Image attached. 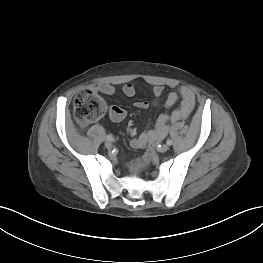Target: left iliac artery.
Wrapping results in <instances>:
<instances>
[{
    "mask_svg": "<svg viewBox=\"0 0 263 263\" xmlns=\"http://www.w3.org/2000/svg\"><path fill=\"white\" fill-rule=\"evenodd\" d=\"M166 143H167V145H169V146H170V145H172V144H173V141H172L171 139H168Z\"/></svg>",
    "mask_w": 263,
    "mask_h": 263,
    "instance_id": "1",
    "label": "left iliac artery"
}]
</instances>
